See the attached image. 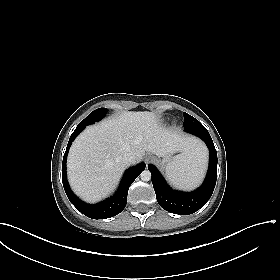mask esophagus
Segmentation results:
<instances>
[{"mask_svg":"<svg viewBox=\"0 0 280 280\" xmlns=\"http://www.w3.org/2000/svg\"><path fill=\"white\" fill-rule=\"evenodd\" d=\"M152 158H153L152 156H146L145 160L148 163V162H150L152 160Z\"/></svg>","mask_w":280,"mask_h":280,"instance_id":"1","label":"esophagus"}]
</instances>
